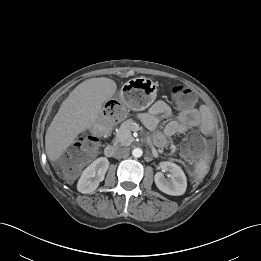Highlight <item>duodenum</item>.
Masks as SVG:
<instances>
[{"instance_id": "410a0bca", "label": "duodenum", "mask_w": 261, "mask_h": 261, "mask_svg": "<svg viewBox=\"0 0 261 261\" xmlns=\"http://www.w3.org/2000/svg\"><path fill=\"white\" fill-rule=\"evenodd\" d=\"M107 128H108V126H107ZM115 151H116V148L113 145H108L104 149V154L107 157H112L115 154Z\"/></svg>"}]
</instances>
